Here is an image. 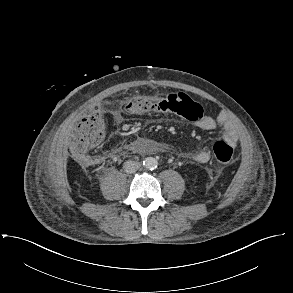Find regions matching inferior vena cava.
<instances>
[{
    "instance_id": "inferior-vena-cava-1",
    "label": "inferior vena cava",
    "mask_w": 293,
    "mask_h": 293,
    "mask_svg": "<svg viewBox=\"0 0 293 293\" xmlns=\"http://www.w3.org/2000/svg\"><path fill=\"white\" fill-rule=\"evenodd\" d=\"M141 167L140 162L128 160L124 162L123 168L124 171L127 173H133Z\"/></svg>"
}]
</instances>
